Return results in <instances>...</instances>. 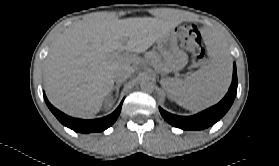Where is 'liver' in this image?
<instances>
[{
    "label": "liver",
    "mask_w": 279,
    "mask_h": 166,
    "mask_svg": "<svg viewBox=\"0 0 279 166\" xmlns=\"http://www.w3.org/2000/svg\"><path fill=\"white\" fill-rule=\"evenodd\" d=\"M179 24L172 11L162 18L118 19L95 13L68 27L54 42L45 60L44 85L49 101L64 113L90 118L99 112L112 91L114 73L168 35ZM135 53L126 60H113L115 50Z\"/></svg>",
    "instance_id": "1"
}]
</instances>
